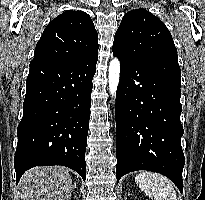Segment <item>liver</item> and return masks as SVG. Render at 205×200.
Listing matches in <instances>:
<instances>
[{
	"label": "liver",
	"instance_id": "1",
	"mask_svg": "<svg viewBox=\"0 0 205 200\" xmlns=\"http://www.w3.org/2000/svg\"><path fill=\"white\" fill-rule=\"evenodd\" d=\"M72 179L62 166L36 167L23 174L18 186L22 200H70Z\"/></svg>",
	"mask_w": 205,
	"mask_h": 200
}]
</instances>
